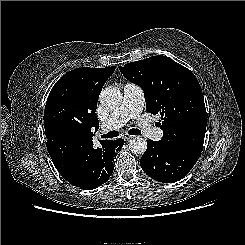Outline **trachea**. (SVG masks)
<instances>
[{
	"label": "trachea",
	"instance_id": "3493384b",
	"mask_svg": "<svg viewBox=\"0 0 245 245\" xmlns=\"http://www.w3.org/2000/svg\"><path fill=\"white\" fill-rule=\"evenodd\" d=\"M128 133H129L130 135H138V134H141V131L138 130V129H130V130L128 131ZM118 135H119V134H118L117 131H110V132H108L107 134L100 135V137H101L102 139H105V138H115V137H117Z\"/></svg>",
	"mask_w": 245,
	"mask_h": 245
}]
</instances>
